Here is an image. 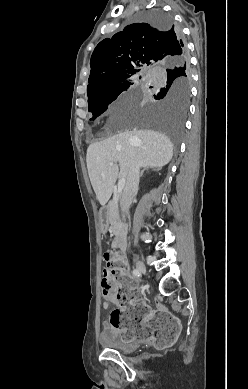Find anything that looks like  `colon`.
<instances>
[{
	"label": "colon",
	"instance_id": "obj_1",
	"mask_svg": "<svg viewBox=\"0 0 248 389\" xmlns=\"http://www.w3.org/2000/svg\"><path fill=\"white\" fill-rule=\"evenodd\" d=\"M104 258L101 290L104 297L118 301L110 315L111 326L121 331L124 344H144L153 337L155 350H166L168 344L175 343L180 322L172 318L171 311H153L150 315V306L142 301L137 280L126 272L120 254L109 252Z\"/></svg>",
	"mask_w": 248,
	"mask_h": 389
}]
</instances>
